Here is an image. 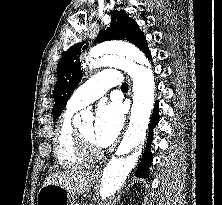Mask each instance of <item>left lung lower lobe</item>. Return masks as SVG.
I'll return each mask as SVG.
<instances>
[{
  "label": "left lung lower lobe",
  "mask_w": 222,
  "mask_h": 205,
  "mask_svg": "<svg viewBox=\"0 0 222 205\" xmlns=\"http://www.w3.org/2000/svg\"><path fill=\"white\" fill-rule=\"evenodd\" d=\"M140 50L143 51V53L151 60V53L148 49L147 46V42L146 39L144 40V42L142 43V45L139 47ZM159 102L156 103L154 111H153V115L151 118V124H150V130H149V137H148V143H147V147L146 150L143 154L141 163L139 165V168L136 172L137 176H141V177H148L149 175V167L150 164L152 163L153 157L152 154L150 152V144L152 142L153 139V128L158 124L159 122Z\"/></svg>",
  "instance_id": "left-lung-lower-lobe-1"
}]
</instances>
